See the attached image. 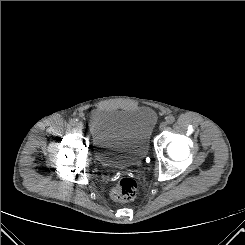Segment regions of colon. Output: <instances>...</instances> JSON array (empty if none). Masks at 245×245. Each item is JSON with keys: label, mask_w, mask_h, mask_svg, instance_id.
I'll return each mask as SVG.
<instances>
[{"label": "colon", "mask_w": 245, "mask_h": 245, "mask_svg": "<svg viewBox=\"0 0 245 245\" xmlns=\"http://www.w3.org/2000/svg\"><path fill=\"white\" fill-rule=\"evenodd\" d=\"M137 194V183L134 179L125 177L120 179L111 189L110 196L119 202L132 201Z\"/></svg>", "instance_id": "1"}]
</instances>
